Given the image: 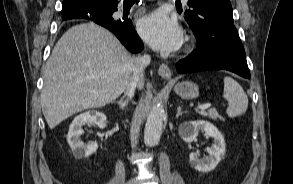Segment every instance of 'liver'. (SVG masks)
<instances>
[{
  "label": "liver",
  "mask_w": 293,
  "mask_h": 184,
  "mask_svg": "<svg viewBox=\"0 0 293 184\" xmlns=\"http://www.w3.org/2000/svg\"><path fill=\"white\" fill-rule=\"evenodd\" d=\"M133 65L134 58L107 29L95 23L68 29L43 70L41 107L49 128L114 101L128 85Z\"/></svg>",
  "instance_id": "obj_1"
}]
</instances>
